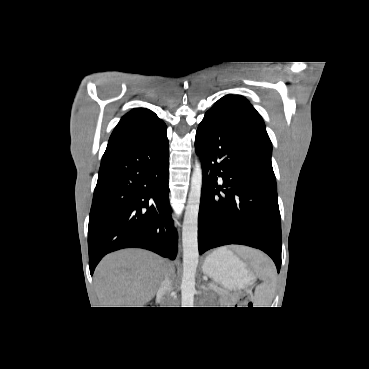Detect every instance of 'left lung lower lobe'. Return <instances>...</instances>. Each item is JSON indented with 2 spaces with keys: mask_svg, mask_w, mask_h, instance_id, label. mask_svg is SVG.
<instances>
[{
  "mask_svg": "<svg viewBox=\"0 0 369 369\" xmlns=\"http://www.w3.org/2000/svg\"><path fill=\"white\" fill-rule=\"evenodd\" d=\"M203 185L198 215L199 253L228 244L267 253L279 272L281 220L268 149L245 130L205 114L195 138Z\"/></svg>",
  "mask_w": 369,
  "mask_h": 369,
  "instance_id": "left-lung-lower-lobe-1",
  "label": "left lung lower lobe"
}]
</instances>
